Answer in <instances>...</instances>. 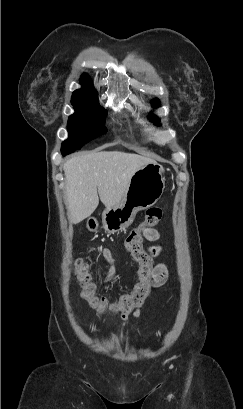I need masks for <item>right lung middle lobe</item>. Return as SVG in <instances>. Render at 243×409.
<instances>
[{
    "label": "right lung middle lobe",
    "instance_id": "obj_1",
    "mask_svg": "<svg viewBox=\"0 0 243 409\" xmlns=\"http://www.w3.org/2000/svg\"><path fill=\"white\" fill-rule=\"evenodd\" d=\"M72 105L75 113L68 120L69 138L62 143L63 156L81 149L84 144L107 131L105 128L107 111L99 106L98 100L85 103L72 102Z\"/></svg>",
    "mask_w": 243,
    "mask_h": 409
}]
</instances>
